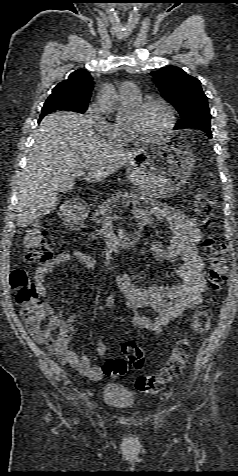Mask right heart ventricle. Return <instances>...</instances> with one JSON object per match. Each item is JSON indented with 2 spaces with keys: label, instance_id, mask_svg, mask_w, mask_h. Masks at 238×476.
Wrapping results in <instances>:
<instances>
[{
  "label": "right heart ventricle",
  "instance_id": "1",
  "mask_svg": "<svg viewBox=\"0 0 238 476\" xmlns=\"http://www.w3.org/2000/svg\"><path fill=\"white\" fill-rule=\"evenodd\" d=\"M122 99H123V102L129 107L134 106L136 103L140 101V98L137 100H131V99H125V98H122ZM113 126L119 131L120 139H128L130 137V134L126 128V125L122 120L116 121V123Z\"/></svg>",
  "mask_w": 238,
  "mask_h": 476
}]
</instances>
